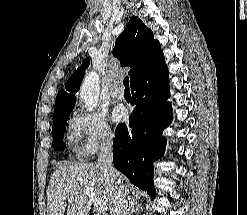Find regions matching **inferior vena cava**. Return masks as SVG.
Returning a JSON list of instances; mask_svg holds the SVG:
<instances>
[{
    "label": "inferior vena cava",
    "instance_id": "obj_1",
    "mask_svg": "<svg viewBox=\"0 0 247 215\" xmlns=\"http://www.w3.org/2000/svg\"><path fill=\"white\" fill-rule=\"evenodd\" d=\"M113 142L105 140L98 157V164L102 168L105 178L114 184L118 192L113 202V215H128V201L121 185L120 174L113 166Z\"/></svg>",
    "mask_w": 247,
    "mask_h": 215
}]
</instances>
